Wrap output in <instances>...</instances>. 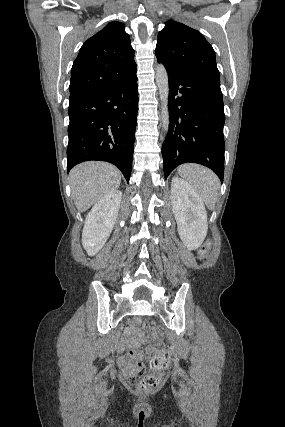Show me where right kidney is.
<instances>
[{"label":"right kidney","mask_w":285,"mask_h":427,"mask_svg":"<svg viewBox=\"0 0 285 427\" xmlns=\"http://www.w3.org/2000/svg\"><path fill=\"white\" fill-rule=\"evenodd\" d=\"M122 192L116 190L103 196L88 213L82 244L89 255H95L106 243L118 216Z\"/></svg>","instance_id":"ca27d5eb"}]
</instances>
